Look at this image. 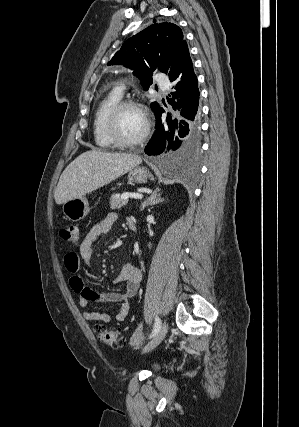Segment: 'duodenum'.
Instances as JSON below:
<instances>
[{
    "label": "duodenum",
    "mask_w": 299,
    "mask_h": 427,
    "mask_svg": "<svg viewBox=\"0 0 299 427\" xmlns=\"http://www.w3.org/2000/svg\"><path fill=\"white\" fill-rule=\"evenodd\" d=\"M127 223H128L129 228H130L132 231H137V229H138V225H137V222H136L134 219L129 218V219L127 220Z\"/></svg>",
    "instance_id": "410a0bca"
}]
</instances>
